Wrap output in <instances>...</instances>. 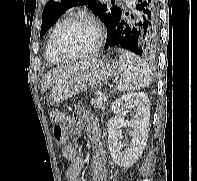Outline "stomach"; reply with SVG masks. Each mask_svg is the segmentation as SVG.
Wrapping results in <instances>:
<instances>
[{"label": "stomach", "instance_id": "1", "mask_svg": "<svg viewBox=\"0 0 197 181\" xmlns=\"http://www.w3.org/2000/svg\"><path fill=\"white\" fill-rule=\"evenodd\" d=\"M118 73V64L112 59L98 58L89 61L84 70L53 85L50 93L51 102L58 106L87 88L103 85Z\"/></svg>", "mask_w": 197, "mask_h": 181}]
</instances>
